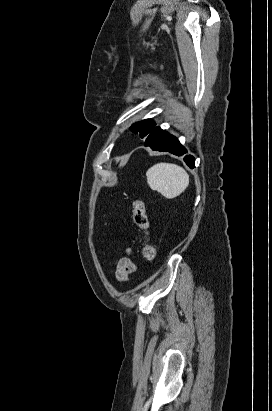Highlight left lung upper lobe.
Instances as JSON below:
<instances>
[{
	"label": "left lung upper lobe",
	"instance_id": "left-lung-upper-lobe-1",
	"mask_svg": "<svg viewBox=\"0 0 272 411\" xmlns=\"http://www.w3.org/2000/svg\"><path fill=\"white\" fill-rule=\"evenodd\" d=\"M158 129H160V127H155L151 119L137 122L130 127V130L135 134L139 133L141 138L148 136L151 132L157 131Z\"/></svg>",
	"mask_w": 272,
	"mask_h": 411
}]
</instances>
